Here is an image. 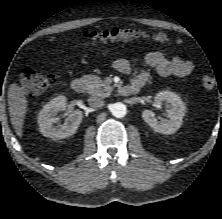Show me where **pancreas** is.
Instances as JSON below:
<instances>
[{
	"label": "pancreas",
	"mask_w": 222,
	"mask_h": 219,
	"mask_svg": "<svg viewBox=\"0 0 222 219\" xmlns=\"http://www.w3.org/2000/svg\"><path fill=\"white\" fill-rule=\"evenodd\" d=\"M83 79L86 82L87 92L89 94L107 97L112 91V87L101 80L98 76L84 75Z\"/></svg>",
	"instance_id": "1"
}]
</instances>
